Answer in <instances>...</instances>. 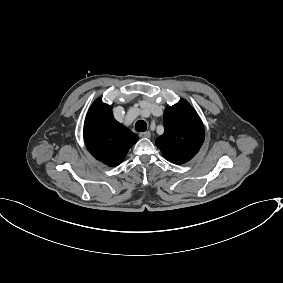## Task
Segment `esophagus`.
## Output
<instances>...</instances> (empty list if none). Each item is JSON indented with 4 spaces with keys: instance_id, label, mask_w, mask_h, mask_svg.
<instances>
[{
    "instance_id": "34e87169",
    "label": "esophagus",
    "mask_w": 283,
    "mask_h": 283,
    "mask_svg": "<svg viewBox=\"0 0 283 283\" xmlns=\"http://www.w3.org/2000/svg\"><path fill=\"white\" fill-rule=\"evenodd\" d=\"M139 136L141 138H149L151 136V133L149 131H146V132L140 133Z\"/></svg>"
}]
</instances>
